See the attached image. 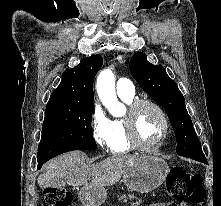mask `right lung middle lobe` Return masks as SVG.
Returning a JSON list of instances; mask_svg holds the SVG:
<instances>
[{
    "mask_svg": "<svg viewBox=\"0 0 221 206\" xmlns=\"http://www.w3.org/2000/svg\"><path fill=\"white\" fill-rule=\"evenodd\" d=\"M93 108L46 110L38 161L72 150L97 149L91 128Z\"/></svg>",
    "mask_w": 221,
    "mask_h": 206,
    "instance_id": "obj_1",
    "label": "right lung middle lobe"
}]
</instances>
